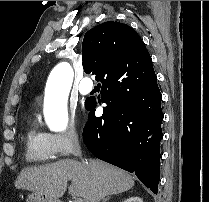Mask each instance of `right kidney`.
Segmentation results:
<instances>
[{"label": "right kidney", "mask_w": 209, "mask_h": 202, "mask_svg": "<svg viewBox=\"0 0 209 202\" xmlns=\"http://www.w3.org/2000/svg\"><path fill=\"white\" fill-rule=\"evenodd\" d=\"M123 202H143V201L140 197L134 196V197H130L129 199H126Z\"/></svg>", "instance_id": "obj_1"}]
</instances>
